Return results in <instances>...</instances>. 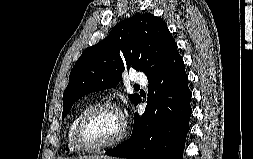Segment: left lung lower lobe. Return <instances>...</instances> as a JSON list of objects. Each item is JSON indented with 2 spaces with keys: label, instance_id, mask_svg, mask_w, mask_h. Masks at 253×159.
Masks as SVG:
<instances>
[{
  "label": "left lung lower lobe",
  "instance_id": "1",
  "mask_svg": "<svg viewBox=\"0 0 253 159\" xmlns=\"http://www.w3.org/2000/svg\"><path fill=\"white\" fill-rule=\"evenodd\" d=\"M148 81L145 113H135L131 137L106 153L128 159H183L192 109L188 76L178 51Z\"/></svg>",
  "mask_w": 253,
  "mask_h": 159
}]
</instances>
